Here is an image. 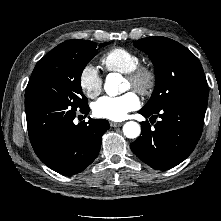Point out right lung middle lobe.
<instances>
[{
	"mask_svg": "<svg viewBox=\"0 0 221 221\" xmlns=\"http://www.w3.org/2000/svg\"><path fill=\"white\" fill-rule=\"evenodd\" d=\"M107 43L100 44L105 46ZM92 41L69 40L45 55L35 66L25 98L53 100L73 109L88 105L82 93L81 74L88 62L97 54Z\"/></svg>",
	"mask_w": 221,
	"mask_h": 221,
	"instance_id": "obj_1",
	"label": "right lung middle lobe"
}]
</instances>
